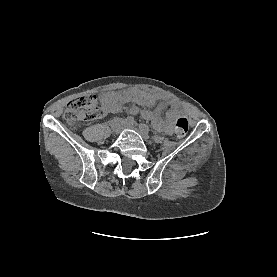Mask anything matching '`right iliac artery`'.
<instances>
[{
  "mask_svg": "<svg viewBox=\"0 0 277 277\" xmlns=\"http://www.w3.org/2000/svg\"><path fill=\"white\" fill-rule=\"evenodd\" d=\"M126 122H127V123H130V124H133V123H134V118H133L132 116H128V117L126 118Z\"/></svg>",
  "mask_w": 277,
  "mask_h": 277,
  "instance_id": "right-iliac-artery-1",
  "label": "right iliac artery"
}]
</instances>
